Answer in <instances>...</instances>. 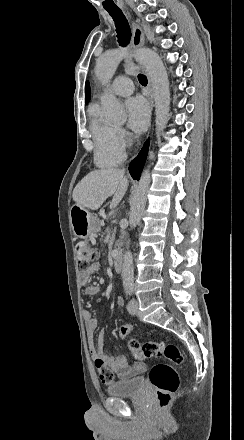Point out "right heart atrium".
Listing matches in <instances>:
<instances>
[{
    "label": "right heart atrium",
    "instance_id": "right-heart-atrium-1",
    "mask_svg": "<svg viewBox=\"0 0 244 440\" xmlns=\"http://www.w3.org/2000/svg\"><path fill=\"white\" fill-rule=\"evenodd\" d=\"M129 140V133L122 127L113 128V136L108 140L109 149H122Z\"/></svg>",
    "mask_w": 244,
    "mask_h": 440
}]
</instances>
